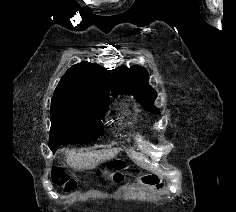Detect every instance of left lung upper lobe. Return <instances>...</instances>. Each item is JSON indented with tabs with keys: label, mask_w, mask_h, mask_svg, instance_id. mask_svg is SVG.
<instances>
[{
	"label": "left lung upper lobe",
	"mask_w": 236,
	"mask_h": 212,
	"mask_svg": "<svg viewBox=\"0 0 236 212\" xmlns=\"http://www.w3.org/2000/svg\"><path fill=\"white\" fill-rule=\"evenodd\" d=\"M148 79V72L143 67H118L114 69L111 78L112 95L114 97L119 94L133 95L147 111L160 114V111L153 105L157 94L148 84Z\"/></svg>",
	"instance_id": "obj_1"
}]
</instances>
